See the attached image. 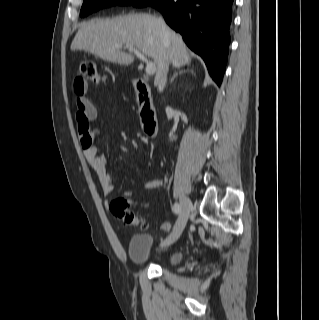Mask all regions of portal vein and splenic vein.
Instances as JSON below:
<instances>
[{
	"instance_id": "portal-vein-and-splenic-vein-1",
	"label": "portal vein and splenic vein",
	"mask_w": 319,
	"mask_h": 320,
	"mask_svg": "<svg viewBox=\"0 0 319 320\" xmlns=\"http://www.w3.org/2000/svg\"><path fill=\"white\" fill-rule=\"evenodd\" d=\"M117 49H120L121 46L120 45H116L115 46ZM129 52L134 53L140 60H142L143 62L146 63V73L147 75H153L156 72V65L155 63L148 61V59L144 56V54H142L140 51H138L137 49L133 48V47H127Z\"/></svg>"
}]
</instances>
